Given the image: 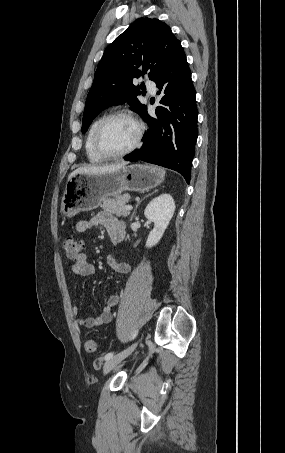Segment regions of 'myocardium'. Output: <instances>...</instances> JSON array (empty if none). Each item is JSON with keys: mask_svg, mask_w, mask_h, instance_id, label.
<instances>
[{"mask_svg": "<svg viewBox=\"0 0 285 453\" xmlns=\"http://www.w3.org/2000/svg\"><path fill=\"white\" fill-rule=\"evenodd\" d=\"M124 117L131 120L137 127V136L134 143L124 151L117 152V153H110L107 152L101 145V135L103 132L104 127L106 124L111 121L112 119ZM145 133V126L144 123L132 112L128 110H117L114 111L102 118V120L98 123L93 137V146L95 151L104 159H117L129 155L130 153L134 152L138 149L141 144Z\"/></svg>", "mask_w": 285, "mask_h": 453, "instance_id": "myocardium-1", "label": "myocardium"}]
</instances>
